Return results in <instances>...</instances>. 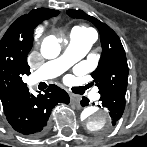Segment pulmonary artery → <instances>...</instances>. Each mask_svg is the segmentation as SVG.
I'll return each instance as SVG.
<instances>
[{
  "label": "pulmonary artery",
  "instance_id": "obj_1",
  "mask_svg": "<svg viewBox=\"0 0 147 147\" xmlns=\"http://www.w3.org/2000/svg\"><path fill=\"white\" fill-rule=\"evenodd\" d=\"M95 38L96 36L93 33L72 30L70 34V43L66 51L59 58L51 60L41 66L32 75L30 84L34 85L40 81L61 75L70 66L87 54L95 41ZM93 97L97 99L99 98V94L96 93Z\"/></svg>",
  "mask_w": 147,
  "mask_h": 147
}]
</instances>
